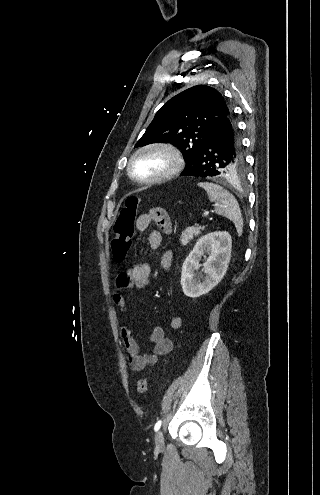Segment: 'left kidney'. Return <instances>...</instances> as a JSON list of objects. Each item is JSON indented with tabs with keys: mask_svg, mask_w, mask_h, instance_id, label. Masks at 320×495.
Returning <instances> with one entry per match:
<instances>
[{
	"mask_svg": "<svg viewBox=\"0 0 320 495\" xmlns=\"http://www.w3.org/2000/svg\"><path fill=\"white\" fill-rule=\"evenodd\" d=\"M232 239L227 232H212L201 237L189 253L182 266L181 285L186 296L196 298L211 291L224 277L231 258ZM209 253L203 263L206 274L202 282L195 278L200 261Z\"/></svg>",
	"mask_w": 320,
	"mask_h": 495,
	"instance_id": "1",
	"label": "left kidney"
}]
</instances>
